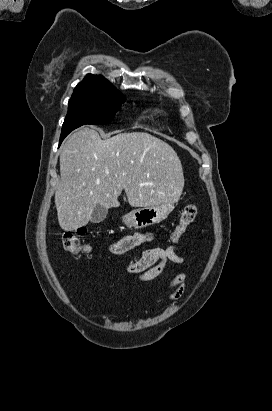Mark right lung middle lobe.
I'll use <instances>...</instances> for the list:
<instances>
[{"instance_id":"1","label":"right lung middle lobe","mask_w":272,"mask_h":411,"mask_svg":"<svg viewBox=\"0 0 272 411\" xmlns=\"http://www.w3.org/2000/svg\"><path fill=\"white\" fill-rule=\"evenodd\" d=\"M124 102L125 97L113 88L73 94L61 137L84 124L109 123Z\"/></svg>"}]
</instances>
